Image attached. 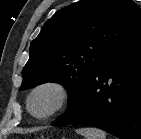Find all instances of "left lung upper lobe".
Here are the masks:
<instances>
[{
  "label": "left lung upper lobe",
  "instance_id": "5c2ea615",
  "mask_svg": "<svg viewBox=\"0 0 141 139\" xmlns=\"http://www.w3.org/2000/svg\"><path fill=\"white\" fill-rule=\"evenodd\" d=\"M141 29L133 0H81L56 12L30 46L20 90L57 82L76 101L93 70Z\"/></svg>",
  "mask_w": 141,
  "mask_h": 139
}]
</instances>
